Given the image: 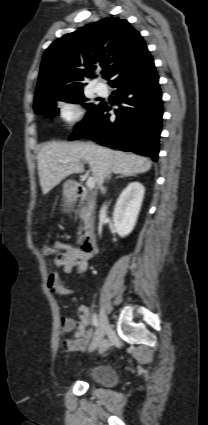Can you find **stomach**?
I'll use <instances>...</instances> for the list:
<instances>
[{"label":"stomach","instance_id":"0dacf381","mask_svg":"<svg viewBox=\"0 0 208 425\" xmlns=\"http://www.w3.org/2000/svg\"><path fill=\"white\" fill-rule=\"evenodd\" d=\"M64 196L67 200H70L76 195V183L72 180H68L63 185Z\"/></svg>","mask_w":208,"mask_h":425}]
</instances>
